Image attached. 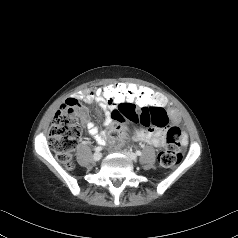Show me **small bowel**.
<instances>
[{
    "mask_svg": "<svg viewBox=\"0 0 238 238\" xmlns=\"http://www.w3.org/2000/svg\"><path fill=\"white\" fill-rule=\"evenodd\" d=\"M124 84V83H119ZM148 90V89H147ZM71 100L82 99L86 103H97L100 111L104 114L103 126L108 128L116 122L111 114L113 110L120 108L122 105L119 103L105 104L96 96L95 91H89L86 93H79L75 98H70ZM165 109V108H163ZM170 117L171 123H177L180 119L179 112L176 109H165ZM83 124L86 126L88 133L95 138L99 143L104 144L107 141V135L103 132L94 122L89 120L88 112L83 109L81 116ZM149 127V126H147ZM153 127V126H152ZM133 138L137 141L151 144L155 147H161L165 144L166 140V130L159 127H153L149 129H137L134 132ZM182 143H187V138L185 134H182Z\"/></svg>",
    "mask_w": 238,
    "mask_h": 238,
    "instance_id": "small-bowel-1",
    "label": "small bowel"
}]
</instances>
